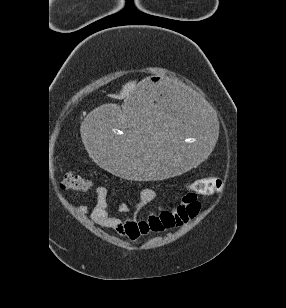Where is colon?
Masks as SVG:
<instances>
[{
	"label": "colon",
	"mask_w": 286,
	"mask_h": 308,
	"mask_svg": "<svg viewBox=\"0 0 286 308\" xmlns=\"http://www.w3.org/2000/svg\"><path fill=\"white\" fill-rule=\"evenodd\" d=\"M62 188L73 191H85L90 188L91 182L86 177L66 171L60 182ZM223 186L221 179L216 177L204 178L195 182L193 189L201 195L212 194Z\"/></svg>",
	"instance_id": "colon-1"
}]
</instances>
